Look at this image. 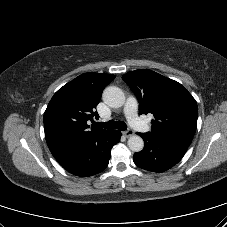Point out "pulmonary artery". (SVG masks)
I'll list each match as a JSON object with an SVG mask.
<instances>
[{
  "mask_svg": "<svg viewBox=\"0 0 227 227\" xmlns=\"http://www.w3.org/2000/svg\"><path fill=\"white\" fill-rule=\"evenodd\" d=\"M124 114L129 124L140 132L149 131V126L143 122L137 114V101L134 97H129L124 106Z\"/></svg>",
  "mask_w": 227,
  "mask_h": 227,
  "instance_id": "pulmonary-artery-1",
  "label": "pulmonary artery"
}]
</instances>
